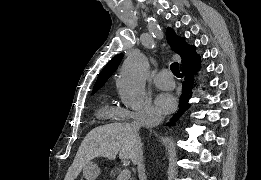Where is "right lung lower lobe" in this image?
I'll use <instances>...</instances> for the list:
<instances>
[{
	"instance_id": "right-lung-lower-lobe-1",
	"label": "right lung lower lobe",
	"mask_w": 261,
	"mask_h": 180,
	"mask_svg": "<svg viewBox=\"0 0 261 180\" xmlns=\"http://www.w3.org/2000/svg\"><path fill=\"white\" fill-rule=\"evenodd\" d=\"M200 61L195 63L194 65L187 66L183 69H181L185 81L182 84V96L180 98L181 102V107L178 113H176L173 118L170 121V125L175 124V122L179 119L181 115L184 114V112L189 108L190 104L188 103L191 94H192V88H193V83H192V78L194 76V72H196L199 68Z\"/></svg>"
}]
</instances>
